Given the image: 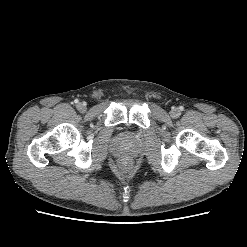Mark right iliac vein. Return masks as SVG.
Returning a JSON list of instances; mask_svg holds the SVG:
<instances>
[{
  "instance_id": "obj_1",
  "label": "right iliac vein",
  "mask_w": 247,
  "mask_h": 247,
  "mask_svg": "<svg viewBox=\"0 0 247 247\" xmlns=\"http://www.w3.org/2000/svg\"><path fill=\"white\" fill-rule=\"evenodd\" d=\"M77 109L80 111V112H85L87 107H86V104L85 103H78L77 104Z\"/></svg>"
}]
</instances>
